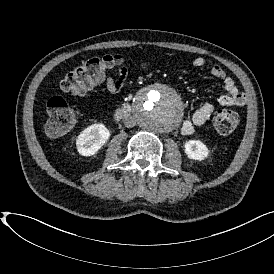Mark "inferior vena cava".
Returning a JSON list of instances; mask_svg holds the SVG:
<instances>
[{"instance_id":"inferior-vena-cava-1","label":"inferior vena cava","mask_w":274,"mask_h":274,"mask_svg":"<svg viewBox=\"0 0 274 274\" xmlns=\"http://www.w3.org/2000/svg\"><path fill=\"white\" fill-rule=\"evenodd\" d=\"M124 125L128 128L134 127L136 125V122L132 117H128L124 120Z\"/></svg>"}]
</instances>
